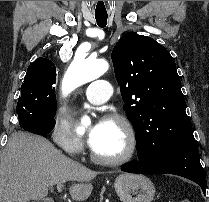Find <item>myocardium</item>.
<instances>
[{"label":"myocardium","instance_id":"f54148a6","mask_svg":"<svg viewBox=\"0 0 209 202\" xmlns=\"http://www.w3.org/2000/svg\"><path fill=\"white\" fill-rule=\"evenodd\" d=\"M105 121L117 123L123 128L127 137V147L120 156L105 157L98 154L95 151V149L91 146L90 148L91 158L99 164L109 165V166L121 165L133 159L137 152L138 142L132 124L129 122V120L126 117L118 114L107 115L105 117Z\"/></svg>","mask_w":209,"mask_h":202}]
</instances>
